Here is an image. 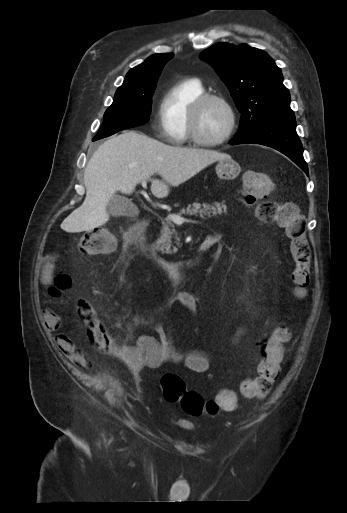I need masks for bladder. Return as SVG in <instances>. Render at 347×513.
I'll use <instances>...</instances> for the list:
<instances>
[{"label":"bladder","instance_id":"31cf9c89","mask_svg":"<svg viewBox=\"0 0 347 513\" xmlns=\"http://www.w3.org/2000/svg\"><path fill=\"white\" fill-rule=\"evenodd\" d=\"M181 426L186 427V425L182 422L179 423Z\"/></svg>","mask_w":347,"mask_h":513}]
</instances>
